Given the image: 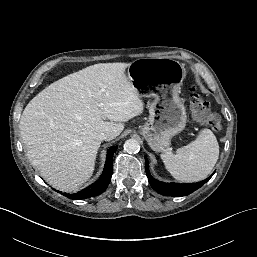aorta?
<instances>
[{"mask_svg":"<svg viewBox=\"0 0 257 257\" xmlns=\"http://www.w3.org/2000/svg\"><path fill=\"white\" fill-rule=\"evenodd\" d=\"M124 150L129 154L138 153L140 150V144L135 139H129L124 143Z\"/></svg>","mask_w":257,"mask_h":257,"instance_id":"1","label":"aorta"}]
</instances>
